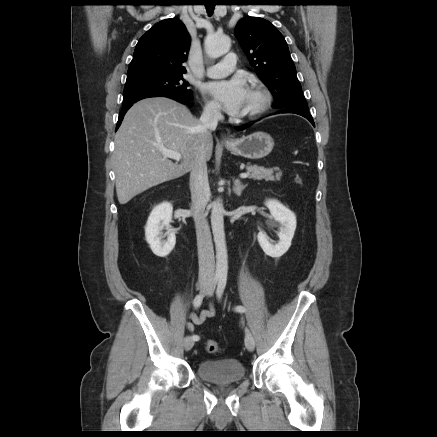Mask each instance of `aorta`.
<instances>
[{
	"instance_id": "762f6f07",
	"label": "aorta",
	"mask_w": 437,
	"mask_h": 437,
	"mask_svg": "<svg viewBox=\"0 0 437 437\" xmlns=\"http://www.w3.org/2000/svg\"><path fill=\"white\" fill-rule=\"evenodd\" d=\"M231 40L226 35H210L205 40V51L211 58L226 54ZM224 207L220 199L212 203L211 225L216 248V276L226 278L228 273V255L224 232Z\"/></svg>"
}]
</instances>
